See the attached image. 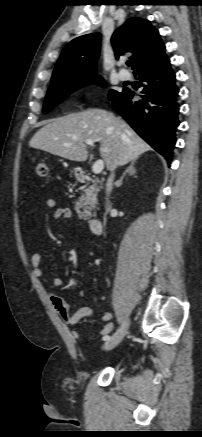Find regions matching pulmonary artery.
<instances>
[{"label":"pulmonary artery","mask_w":202,"mask_h":437,"mask_svg":"<svg viewBox=\"0 0 202 437\" xmlns=\"http://www.w3.org/2000/svg\"><path fill=\"white\" fill-rule=\"evenodd\" d=\"M118 77H119L120 80L126 81V80H128L130 78V75H129V73L126 70L122 69V70L119 71Z\"/></svg>","instance_id":"1"}]
</instances>
